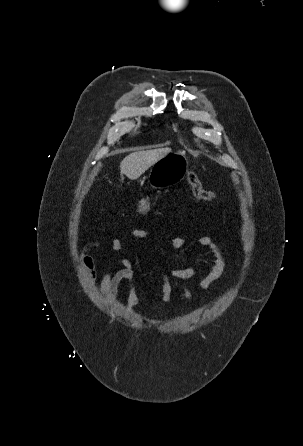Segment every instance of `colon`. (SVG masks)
Here are the masks:
<instances>
[{
    "instance_id": "obj_1",
    "label": "colon",
    "mask_w": 303,
    "mask_h": 446,
    "mask_svg": "<svg viewBox=\"0 0 303 446\" xmlns=\"http://www.w3.org/2000/svg\"><path fill=\"white\" fill-rule=\"evenodd\" d=\"M186 181L189 185L193 195L199 200L212 201L215 199V194L204 188L200 178L192 171L186 173ZM152 196H148L141 200L135 207V211L142 214L148 211L152 206Z\"/></svg>"
}]
</instances>
